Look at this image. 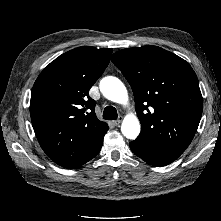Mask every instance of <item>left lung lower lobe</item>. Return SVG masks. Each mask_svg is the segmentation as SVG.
Instances as JSON below:
<instances>
[{"label": "left lung lower lobe", "instance_id": "obj_1", "mask_svg": "<svg viewBox=\"0 0 221 221\" xmlns=\"http://www.w3.org/2000/svg\"><path fill=\"white\" fill-rule=\"evenodd\" d=\"M129 146L134 154L154 166L167 165L183 153L181 151L146 145L135 141L130 142Z\"/></svg>", "mask_w": 221, "mask_h": 221}]
</instances>
